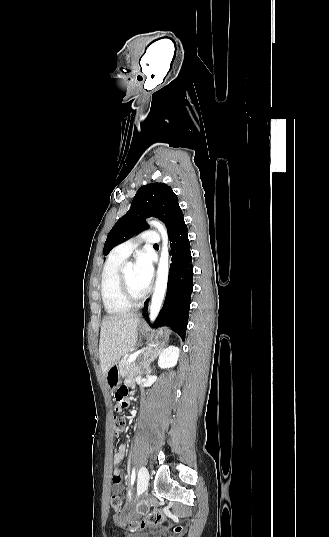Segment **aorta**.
<instances>
[{
    "instance_id": "762f6f07",
    "label": "aorta",
    "mask_w": 329,
    "mask_h": 537,
    "mask_svg": "<svg viewBox=\"0 0 329 537\" xmlns=\"http://www.w3.org/2000/svg\"><path fill=\"white\" fill-rule=\"evenodd\" d=\"M150 224L153 225L156 229H158V231L161 233L163 240L161 256L157 269V278L150 305V320L154 321L162 307L167 289L169 274V245L167 230L165 226L161 222L155 220H152ZM126 267L131 268L132 263L128 262Z\"/></svg>"
}]
</instances>
